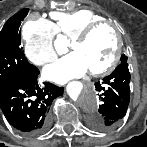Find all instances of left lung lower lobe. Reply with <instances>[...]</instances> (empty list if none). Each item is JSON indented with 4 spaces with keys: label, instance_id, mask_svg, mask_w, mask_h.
Wrapping results in <instances>:
<instances>
[{
    "label": "left lung lower lobe",
    "instance_id": "0a47b994",
    "mask_svg": "<svg viewBox=\"0 0 147 147\" xmlns=\"http://www.w3.org/2000/svg\"><path fill=\"white\" fill-rule=\"evenodd\" d=\"M130 73L127 62H122L102 82H96L100 94L97 113L87 118V125L96 130H110L125 116L130 100Z\"/></svg>",
    "mask_w": 147,
    "mask_h": 147
}]
</instances>
